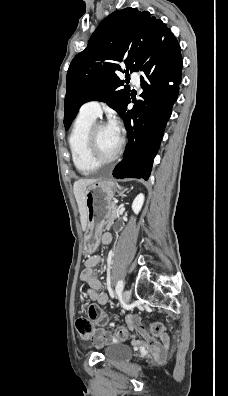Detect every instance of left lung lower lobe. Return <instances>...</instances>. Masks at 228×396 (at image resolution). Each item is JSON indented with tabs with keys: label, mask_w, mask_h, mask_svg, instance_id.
I'll return each instance as SVG.
<instances>
[{
	"label": "left lung lower lobe",
	"mask_w": 228,
	"mask_h": 396,
	"mask_svg": "<svg viewBox=\"0 0 228 396\" xmlns=\"http://www.w3.org/2000/svg\"><path fill=\"white\" fill-rule=\"evenodd\" d=\"M140 70L145 74L140 77L143 100H138L132 110H127L131 102L129 98L120 116L124 120L129 143L123 160L113 171L117 179L148 180L150 176L181 82V49L170 30L154 38Z\"/></svg>",
	"instance_id": "0a47b994"
}]
</instances>
